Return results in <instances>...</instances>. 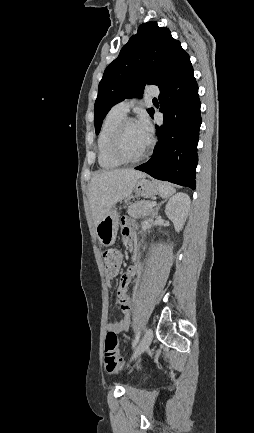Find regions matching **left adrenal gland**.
Segmentation results:
<instances>
[{
	"label": "left adrenal gland",
	"instance_id": "a2214340",
	"mask_svg": "<svg viewBox=\"0 0 254 433\" xmlns=\"http://www.w3.org/2000/svg\"><path fill=\"white\" fill-rule=\"evenodd\" d=\"M164 203V201L160 202L159 204H157L156 209H155V214L158 213L160 206Z\"/></svg>",
	"mask_w": 254,
	"mask_h": 433
}]
</instances>
